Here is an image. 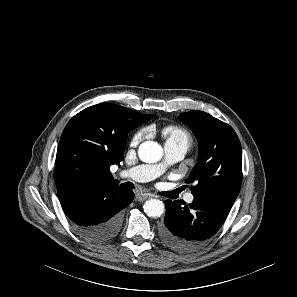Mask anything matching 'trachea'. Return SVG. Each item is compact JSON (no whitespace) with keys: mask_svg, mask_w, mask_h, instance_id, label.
Wrapping results in <instances>:
<instances>
[{"mask_svg":"<svg viewBox=\"0 0 297 297\" xmlns=\"http://www.w3.org/2000/svg\"><path fill=\"white\" fill-rule=\"evenodd\" d=\"M122 186L126 188H133V184L131 182L123 183Z\"/></svg>","mask_w":297,"mask_h":297,"instance_id":"trachea-1","label":"trachea"}]
</instances>
